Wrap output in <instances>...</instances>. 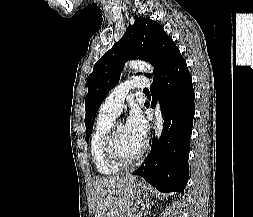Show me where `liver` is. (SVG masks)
<instances>
[{
    "label": "liver",
    "mask_w": 253,
    "mask_h": 217,
    "mask_svg": "<svg viewBox=\"0 0 253 217\" xmlns=\"http://www.w3.org/2000/svg\"><path fill=\"white\" fill-rule=\"evenodd\" d=\"M136 181L130 174L96 179L91 200L94 217H124L135 199Z\"/></svg>",
    "instance_id": "1"
}]
</instances>
